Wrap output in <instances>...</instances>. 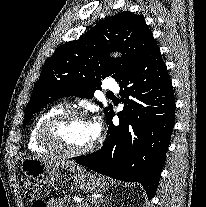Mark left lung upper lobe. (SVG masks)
<instances>
[{
  "label": "left lung upper lobe",
  "mask_w": 206,
  "mask_h": 207,
  "mask_svg": "<svg viewBox=\"0 0 206 207\" xmlns=\"http://www.w3.org/2000/svg\"><path fill=\"white\" fill-rule=\"evenodd\" d=\"M154 45L153 34L142 16L125 11L100 21L46 60L25 108L23 126L35 112L60 97L92 98L101 88V80L109 76L121 82ZM110 50L121 51L124 56L111 58ZM104 112L108 121L113 113L111 105Z\"/></svg>",
  "instance_id": "obj_1"
}]
</instances>
